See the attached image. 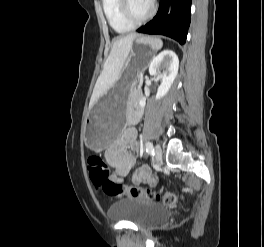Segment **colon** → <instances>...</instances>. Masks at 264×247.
Returning a JSON list of instances; mask_svg holds the SVG:
<instances>
[{
    "label": "colon",
    "mask_w": 264,
    "mask_h": 247,
    "mask_svg": "<svg viewBox=\"0 0 264 247\" xmlns=\"http://www.w3.org/2000/svg\"><path fill=\"white\" fill-rule=\"evenodd\" d=\"M87 167L93 185L101 188L104 193L111 197L144 198L161 201L166 205H174L178 200L177 194L171 191L159 193L139 186L122 185L111 180L109 178V167L99 156L88 157Z\"/></svg>",
    "instance_id": "5ec220e1"
}]
</instances>
